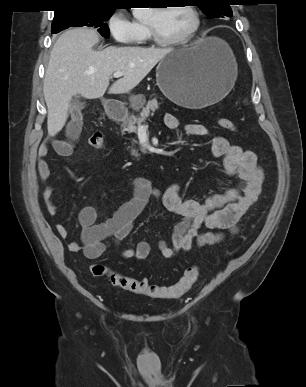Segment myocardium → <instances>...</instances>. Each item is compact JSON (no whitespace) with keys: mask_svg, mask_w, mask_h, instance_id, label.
<instances>
[{"mask_svg":"<svg viewBox=\"0 0 306 387\" xmlns=\"http://www.w3.org/2000/svg\"><path fill=\"white\" fill-rule=\"evenodd\" d=\"M182 7H185L190 12V14L193 17V25L189 29V31L181 38L174 39V40H166V39H163L158 34L157 30L155 29V27L151 23L147 22L146 23V28H147V31H148V36H149V39L154 44H156L158 46H161V47L180 46V45L187 44L188 42H190L195 37V35L197 34V32H198V30H199V28L201 26L200 13L197 10V8L194 7L193 5L185 4ZM166 8H168V7L167 6H162V7L155 8V10H164Z\"/></svg>","mask_w":306,"mask_h":387,"instance_id":"obj_1","label":"myocardium"}]
</instances>
